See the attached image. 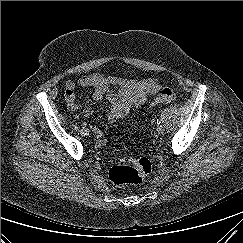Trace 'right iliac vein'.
<instances>
[{
  "label": "right iliac vein",
  "mask_w": 243,
  "mask_h": 243,
  "mask_svg": "<svg viewBox=\"0 0 243 243\" xmlns=\"http://www.w3.org/2000/svg\"><path fill=\"white\" fill-rule=\"evenodd\" d=\"M81 134L84 135V136H88L89 135V129L83 127L81 129Z\"/></svg>",
  "instance_id": "63e3f726"
}]
</instances>
